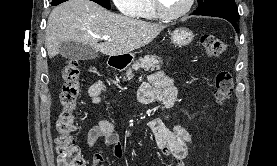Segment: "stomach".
Masks as SVG:
<instances>
[{
	"label": "stomach",
	"instance_id": "obj_1",
	"mask_svg": "<svg viewBox=\"0 0 277 166\" xmlns=\"http://www.w3.org/2000/svg\"><path fill=\"white\" fill-rule=\"evenodd\" d=\"M194 35L188 28H177L171 33V41L175 46L182 47L191 43ZM114 61L119 67H126L134 61V54L126 53L122 55H114Z\"/></svg>",
	"mask_w": 277,
	"mask_h": 166
}]
</instances>
